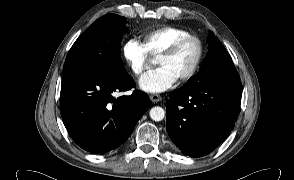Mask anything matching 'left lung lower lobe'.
<instances>
[{
  "mask_svg": "<svg viewBox=\"0 0 294 180\" xmlns=\"http://www.w3.org/2000/svg\"><path fill=\"white\" fill-rule=\"evenodd\" d=\"M241 82L181 87L166 101L167 132L190 157L211 153L230 134L241 103Z\"/></svg>",
  "mask_w": 294,
  "mask_h": 180,
  "instance_id": "0a47b994",
  "label": "left lung lower lobe"
}]
</instances>
